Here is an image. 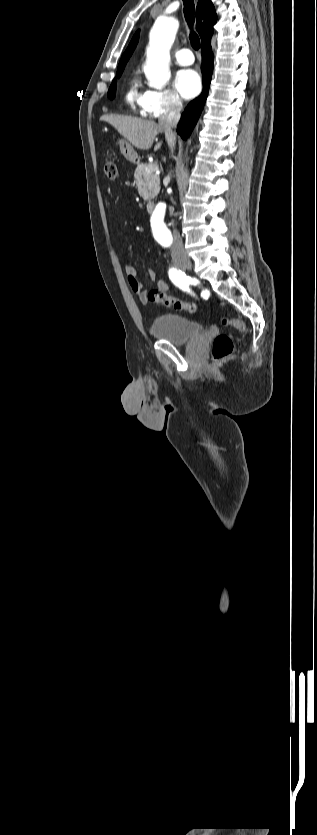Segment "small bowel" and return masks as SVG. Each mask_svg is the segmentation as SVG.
Listing matches in <instances>:
<instances>
[{
  "mask_svg": "<svg viewBox=\"0 0 317 835\" xmlns=\"http://www.w3.org/2000/svg\"><path fill=\"white\" fill-rule=\"evenodd\" d=\"M126 274L130 288L138 294L140 300L142 302L146 301V291L144 290L142 284L138 280L137 271L134 266L129 265L126 267ZM149 278L152 282H154L157 288L163 292L168 291L169 286L167 282L158 277L157 273L153 269H149L148 271Z\"/></svg>",
  "mask_w": 317,
  "mask_h": 835,
  "instance_id": "c3829d8e",
  "label": "small bowel"
}]
</instances>
